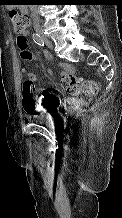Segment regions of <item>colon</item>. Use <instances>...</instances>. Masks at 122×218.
<instances>
[{
	"mask_svg": "<svg viewBox=\"0 0 122 218\" xmlns=\"http://www.w3.org/2000/svg\"><path fill=\"white\" fill-rule=\"evenodd\" d=\"M10 20L14 26V29L22 33L26 31L29 26V17L17 10H11L9 12ZM17 46L20 49V56L23 60H29L31 58V53L27 50V42L24 38H17ZM23 82L22 90L25 98L24 107L26 111L31 114L35 113L36 103L33 96L34 85L33 81L29 77L27 70H23ZM63 84L65 89L71 94L85 93L86 95H94L97 91V87L93 82H84L76 77H67L63 79Z\"/></svg>",
	"mask_w": 122,
	"mask_h": 218,
	"instance_id": "1",
	"label": "colon"
}]
</instances>
